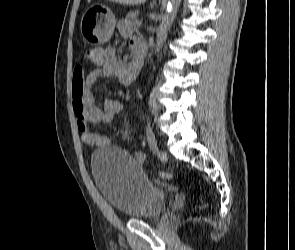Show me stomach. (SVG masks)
Here are the masks:
<instances>
[{"instance_id": "obj_1", "label": "stomach", "mask_w": 295, "mask_h": 250, "mask_svg": "<svg viewBox=\"0 0 295 250\" xmlns=\"http://www.w3.org/2000/svg\"><path fill=\"white\" fill-rule=\"evenodd\" d=\"M115 15L105 5L93 4L84 13L80 29L83 37L91 45H106L114 32Z\"/></svg>"}]
</instances>
